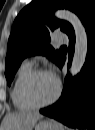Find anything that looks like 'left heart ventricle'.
Segmentation results:
<instances>
[{
    "label": "left heart ventricle",
    "mask_w": 95,
    "mask_h": 130,
    "mask_svg": "<svg viewBox=\"0 0 95 130\" xmlns=\"http://www.w3.org/2000/svg\"><path fill=\"white\" fill-rule=\"evenodd\" d=\"M57 90L54 77L47 73L37 75L30 86V95L36 102H45L51 99Z\"/></svg>",
    "instance_id": "obj_1"
}]
</instances>
